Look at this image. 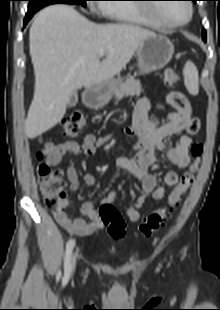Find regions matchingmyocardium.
Instances as JSON below:
<instances>
[{"label": "myocardium", "instance_id": "obj_1", "mask_svg": "<svg viewBox=\"0 0 220 310\" xmlns=\"http://www.w3.org/2000/svg\"><path fill=\"white\" fill-rule=\"evenodd\" d=\"M187 9H188V16L182 20V21H178V22H171L168 21L166 19H163L161 17H159L157 14H155L154 10L151 9H147L145 8L144 11L151 16L152 18H154L160 25H162L163 27H168V28H177V27H181L183 25H185L186 23H188L190 21V19L192 18L193 15V7L191 4H185Z\"/></svg>", "mask_w": 220, "mask_h": 310}]
</instances>
